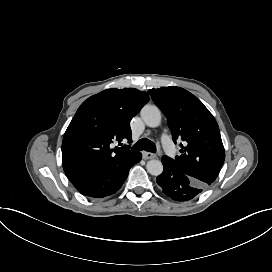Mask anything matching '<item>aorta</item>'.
I'll use <instances>...</instances> for the list:
<instances>
[{"label": "aorta", "mask_w": 272, "mask_h": 272, "mask_svg": "<svg viewBox=\"0 0 272 272\" xmlns=\"http://www.w3.org/2000/svg\"><path fill=\"white\" fill-rule=\"evenodd\" d=\"M140 115L149 127H157L161 123V112L156 105L146 104ZM146 169L151 175L158 176L163 172V165L160 160L152 159L147 162Z\"/></svg>", "instance_id": "762f6f07"}]
</instances>
